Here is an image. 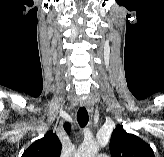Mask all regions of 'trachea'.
I'll list each match as a JSON object with an SVG mask.
<instances>
[{"instance_id":"1","label":"trachea","mask_w":164,"mask_h":157,"mask_svg":"<svg viewBox=\"0 0 164 157\" xmlns=\"http://www.w3.org/2000/svg\"><path fill=\"white\" fill-rule=\"evenodd\" d=\"M77 121L81 127H85L87 125L89 117L85 107L79 108L77 112Z\"/></svg>"}]
</instances>
